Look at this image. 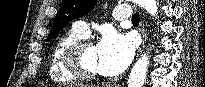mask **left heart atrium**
I'll use <instances>...</instances> for the list:
<instances>
[{
    "instance_id": "obj_1",
    "label": "left heart atrium",
    "mask_w": 205,
    "mask_h": 87,
    "mask_svg": "<svg viewBox=\"0 0 205 87\" xmlns=\"http://www.w3.org/2000/svg\"><path fill=\"white\" fill-rule=\"evenodd\" d=\"M134 51L132 36L106 32L96 46L98 72L106 76L118 75L130 64Z\"/></svg>"
}]
</instances>
